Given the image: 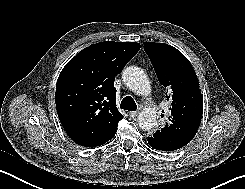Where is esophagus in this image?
<instances>
[{
    "label": "esophagus",
    "instance_id": "obj_1",
    "mask_svg": "<svg viewBox=\"0 0 245 189\" xmlns=\"http://www.w3.org/2000/svg\"><path fill=\"white\" fill-rule=\"evenodd\" d=\"M138 114H139V111H138V110H137V111L129 112V115H130V117H132V118H135Z\"/></svg>",
    "mask_w": 245,
    "mask_h": 189
}]
</instances>
